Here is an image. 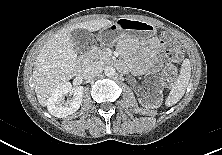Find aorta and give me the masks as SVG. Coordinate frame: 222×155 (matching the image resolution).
<instances>
[{"mask_svg":"<svg viewBox=\"0 0 222 155\" xmlns=\"http://www.w3.org/2000/svg\"><path fill=\"white\" fill-rule=\"evenodd\" d=\"M104 72L107 77H113L116 71L112 66H106Z\"/></svg>","mask_w":222,"mask_h":155,"instance_id":"762f6f07","label":"aorta"}]
</instances>
